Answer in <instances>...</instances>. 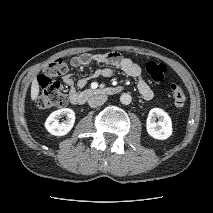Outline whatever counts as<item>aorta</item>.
<instances>
[{
	"label": "aorta",
	"instance_id": "obj_1",
	"mask_svg": "<svg viewBox=\"0 0 213 213\" xmlns=\"http://www.w3.org/2000/svg\"><path fill=\"white\" fill-rule=\"evenodd\" d=\"M131 101H132V97L128 93H124L120 96V102L124 105L130 104Z\"/></svg>",
	"mask_w": 213,
	"mask_h": 213
}]
</instances>
